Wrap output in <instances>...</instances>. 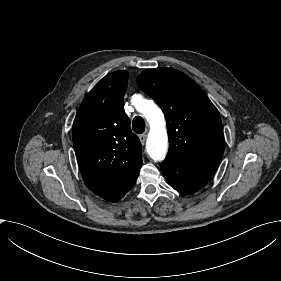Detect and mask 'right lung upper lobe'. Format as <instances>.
Returning <instances> with one entry per match:
<instances>
[{"instance_id":"1","label":"right lung upper lobe","mask_w":281,"mask_h":281,"mask_svg":"<svg viewBox=\"0 0 281 281\" xmlns=\"http://www.w3.org/2000/svg\"><path fill=\"white\" fill-rule=\"evenodd\" d=\"M128 72L101 79L82 101L73 144L85 185L106 198L142 165L141 143L123 109Z\"/></svg>"}]
</instances>
